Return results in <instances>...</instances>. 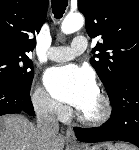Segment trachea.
I'll return each mask as SVG.
<instances>
[{
	"mask_svg": "<svg viewBox=\"0 0 139 150\" xmlns=\"http://www.w3.org/2000/svg\"><path fill=\"white\" fill-rule=\"evenodd\" d=\"M51 3L55 18L60 19L68 5V0H51Z\"/></svg>",
	"mask_w": 139,
	"mask_h": 150,
	"instance_id": "obj_1",
	"label": "trachea"
}]
</instances>
